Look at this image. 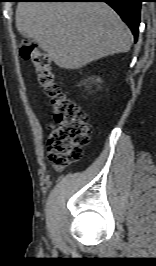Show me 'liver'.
<instances>
[{
  "label": "liver",
  "mask_w": 156,
  "mask_h": 266,
  "mask_svg": "<svg viewBox=\"0 0 156 266\" xmlns=\"http://www.w3.org/2000/svg\"><path fill=\"white\" fill-rule=\"evenodd\" d=\"M15 20L20 33L65 69L126 53L132 45L130 29L101 2H20Z\"/></svg>",
  "instance_id": "obj_1"
}]
</instances>
